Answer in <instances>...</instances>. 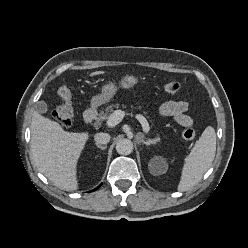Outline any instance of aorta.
<instances>
[{"label":"aorta","mask_w":248,"mask_h":248,"mask_svg":"<svg viewBox=\"0 0 248 248\" xmlns=\"http://www.w3.org/2000/svg\"><path fill=\"white\" fill-rule=\"evenodd\" d=\"M116 151L121 155H129L133 151V143L129 139H121L116 144Z\"/></svg>","instance_id":"762f6f07"}]
</instances>
